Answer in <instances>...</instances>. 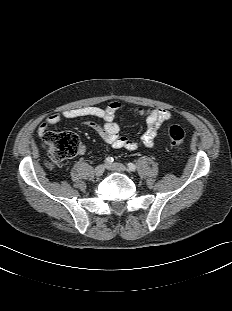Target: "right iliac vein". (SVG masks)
<instances>
[{
  "label": "right iliac vein",
  "instance_id": "obj_1",
  "mask_svg": "<svg viewBox=\"0 0 232 311\" xmlns=\"http://www.w3.org/2000/svg\"><path fill=\"white\" fill-rule=\"evenodd\" d=\"M104 172H105V165L103 164L98 165L94 170V173L97 177L102 176Z\"/></svg>",
  "mask_w": 232,
  "mask_h": 311
}]
</instances>
